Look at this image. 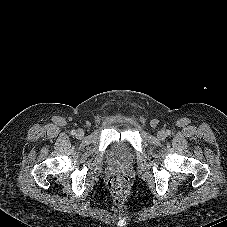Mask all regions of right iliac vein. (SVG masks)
Returning a JSON list of instances; mask_svg holds the SVG:
<instances>
[{
	"instance_id": "obj_1",
	"label": "right iliac vein",
	"mask_w": 227,
	"mask_h": 227,
	"mask_svg": "<svg viewBox=\"0 0 227 227\" xmlns=\"http://www.w3.org/2000/svg\"><path fill=\"white\" fill-rule=\"evenodd\" d=\"M76 137H77L78 139H82V138L84 137V131H83L82 129H78V130L76 131Z\"/></svg>"
}]
</instances>
